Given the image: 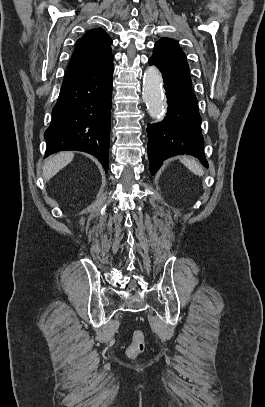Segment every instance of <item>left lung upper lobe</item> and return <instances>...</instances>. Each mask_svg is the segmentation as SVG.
<instances>
[{"instance_id": "obj_1", "label": "left lung upper lobe", "mask_w": 265, "mask_h": 407, "mask_svg": "<svg viewBox=\"0 0 265 407\" xmlns=\"http://www.w3.org/2000/svg\"><path fill=\"white\" fill-rule=\"evenodd\" d=\"M156 63L187 81L191 82L189 66L183 50L177 41L171 38H161L155 43L152 57Z\"/></svg>"}]
</instances>
